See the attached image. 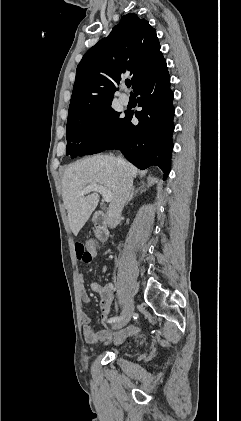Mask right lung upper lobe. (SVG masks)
I'll return each mask as SVG.
<instances>
[{"instance_id": "right-lung-upper-lobe-1", "label": "right lung upper lobe", "mask_w": 241, "mask_h": 421, "mask_svg": "<svg viewBox=\"0 0 241 421\" xmlns=\"http://www.w3.org/2000/svg\"><path fill=\"white\" fill-rule=\"evenodd\" d=\"M162 57L156 31L149 22L134 13L123 16L77 66L67 122L111 107L122 76H132L134 89Z\"/></svg>"}]
</instances>
